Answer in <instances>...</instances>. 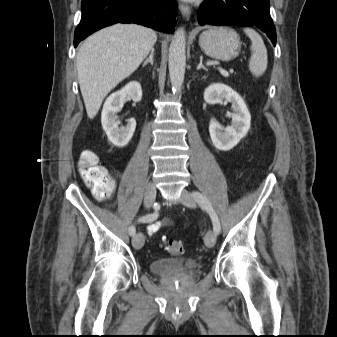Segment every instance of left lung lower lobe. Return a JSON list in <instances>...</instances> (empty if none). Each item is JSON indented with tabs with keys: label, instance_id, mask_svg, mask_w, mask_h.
<instances>
[{
	"label": "left lung lower lobe",
	"instance_id": "left-lung-lower-lobe-1",
	"mask_svg": "<svg viewBox=\"0 0 337 337\" xmlns=\"http://www.w3.org/2000/svg\"><path fill=\"white\" fill-rule=\"evenodd\" d=\"M198 15L200 25L256 26L276 45L269 0H205Z\"/></svg>",
	"mask_w": 337,
	"mask_h": 337
}]
</instances>
